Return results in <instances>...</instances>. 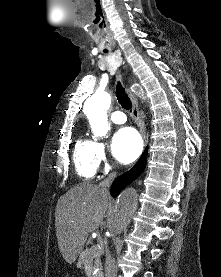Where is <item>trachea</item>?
<instances>
[{
    "instance_id": "1",
    "label": "trachea",
    "mask_w": 221,
    "mask_h": 277,
    "mask_svg": "<svg viewBox=\"0 0 221 277\" xmlns=\"http://www.w3.org/2000/svg\"><path fill=\"white\" fill-rule=\"evenodd\" d=\"M107 52V51H105ZM116 97L119 104L126 110H130L132 107L131 100L125 92V88L122 86L120 82H118L116 86Z\"/></svg>"
}]
</instances>
